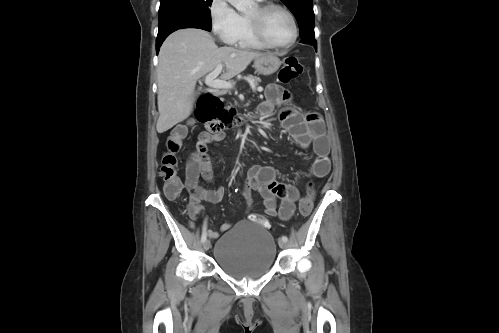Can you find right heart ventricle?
Segmentation results:
<instances>
[{"label": "right heart ventricle", "mask_w": 499, "mask_h": 333, "mask_svg": "<svg viewBox=\"0 0 499 333\" xmlns=\"http://www.w3.org/2000/svg\"><path fill=\"white\" fill-rule=\"evenodd\" d=\"M241 18H242L241 29L233 44L248 49H266L267 47L254 36L247 17L241 16Z\"/></svg>", "instance_id": "right-heart-ventricle-1"}]
</instances>
